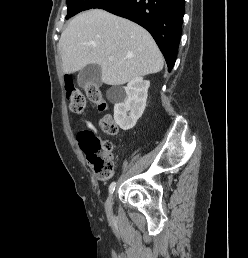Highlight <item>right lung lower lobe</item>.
I'll return each mask as SVG.
<instances>
[{"label":"right lung lower lobe","instance_id":"obj_1","mask_svg":"<svg viewBox=\"0 0 248 258\" xmlns=\"http://www.w3.org/2000/svg\"><path fill=\"white\" fill-rule=\"evenodd\" d=\"M97 8L127 18L153 36L167 62L174 66L182 31L184 0H111Z\"/></svg>","mask_w":248,"mask_h":258}]
</instances>
